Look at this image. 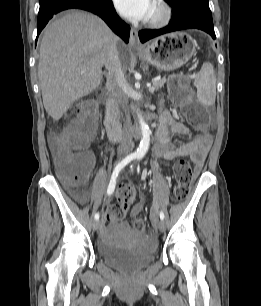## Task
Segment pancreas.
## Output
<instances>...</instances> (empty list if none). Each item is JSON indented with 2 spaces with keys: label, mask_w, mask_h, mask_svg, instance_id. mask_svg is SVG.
I'll return each mask as SVG.
<instances>
[{
  "label": "pancreas",
  "mask_w": 261,
  "mask_h": 306,
  "mask_svg": "<svg viewBox=\"0 0 261 306\" xmlns=\"http://www.w3.org/2000/svg\"><path fill=\"white\" fill-rule=\"evenodd\" d=\"M165 82H166L165 79H161V80H158V81H153L152 82L153 91H150V93H153L154 91H157L160 88H162L164 86Z\"/></svg>",
  "instance_id": "pancreas-1"
}]
</instances>
